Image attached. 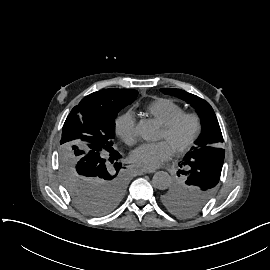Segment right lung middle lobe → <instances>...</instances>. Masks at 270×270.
<instances>
[{
	"mask_svg": "<svg viewBox=\"0 0 270 270\" xmlns=\"http://www.w3.org/2000/svg\"><path fill=\"white\" fill-rule=\"evenodd\" d=\"M104 91L84 97L71 110L58 146L61 182L73 205L90 216L109 212L124 198L127 178L113 148L114 119L138 95L128 89Z\"/></svg>",
	"mask_w": 270,
	"mask_h": 270,
	"instance_id": "1",
	"label": "right lung middle lobe"
}]
</instances>
